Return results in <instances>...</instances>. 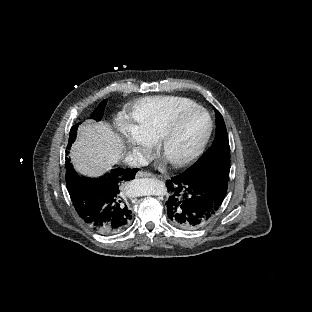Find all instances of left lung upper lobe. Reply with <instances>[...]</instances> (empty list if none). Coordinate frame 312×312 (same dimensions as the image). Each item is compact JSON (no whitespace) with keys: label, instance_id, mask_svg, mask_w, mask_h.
Wrapping results in <instances>:
<instances>
[{"label":"left lung upper lobe","instance_id":"obj_1","mask_svg":"<svg viewBox=\"0 0 312 312\" xmlns=\"http://www.w3.org/2000/svg\"><path fill=\"white\" fill-rule=\"evenodd\" d=\"M215 112L217 116V129L214 141L208 150L199 158V160L188 168L189 170L218 163L220 160L230 162V147L226 126L219 111L215 110Z\"/></svg>","mask_w":312,"mask_h":312}]
</instances>
